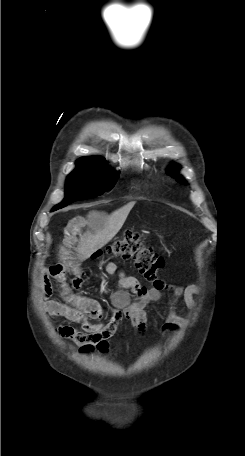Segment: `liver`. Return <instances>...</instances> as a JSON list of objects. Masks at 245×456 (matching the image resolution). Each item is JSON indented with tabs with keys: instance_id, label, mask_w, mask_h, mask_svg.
Wrapping results in <instances>:
<instances>
[{
	"instance_id": "1",
	"label": "liver",
	"mask_w": 245,
	"mask_h": 456,
	"mask_svg": "<svg viewBox=\"0 0 245 456\" xmlns=\"http://www.w3.org/2000/svg\"><path fill=\"white\" fill-rule=\"evenodd\" d=\"M134 205V201L129 202L108 216L102 228L97 229L95 233L87 231L80 237L76 252L81 262L88 259L98 249L104 247L119 232ZM64 254L65 252L61 248V260H64Z\"/></svg>"
}]
</instances>
